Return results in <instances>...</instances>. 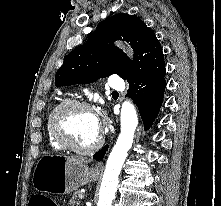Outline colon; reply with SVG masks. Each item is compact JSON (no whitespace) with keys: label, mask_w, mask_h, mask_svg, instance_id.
<instances>
[{"label":"colon","mask_w":221,"mask_h":206,"mask_svg":"<svg viewBox=\"0 0 221 206\" xmlns=\"http://www.w3.org/2000/svg\"><path fill=\"white\" fill-rule=\"evenodd\" d=\"M29 206H57L53 200L45 195L36 194L30 198Z\"/></svg>","instance_id":"colon-1"}]
</instances>
